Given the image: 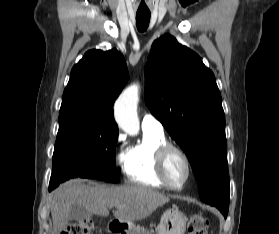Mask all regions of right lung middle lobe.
Masks as SVG:
<instances>
[{"label":"right lung middle lobe","instance_id":"dd1d6c3e","mask_svg":"<svg viewBox=\"0 0 279 234\" xmlns=\"http://www.w3.org/2000/svg\"><path fill=\"white\" fill-rule=\"evenodd\" d=\"M117 138V129L102 127L92 118L59 116L49 190L78 176L118 183Z\"/></svg>","mask_w":279,"mask_h":234}]
</instances>
